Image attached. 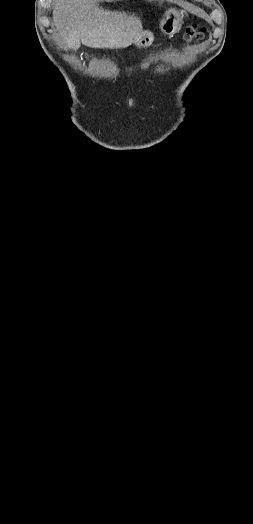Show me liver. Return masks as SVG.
I'll return each instance as SVG.
<instances>
[{"instance_id": "obj_1", "label": "liver", "mask_w": 253, "mask_h": 524, "mask_svg": "<svg viewBox=\"0 0 253 524\" xmlns=\"http://www.w3.org/2000/svg\"><path fill=\"white\" fill-rule=\"evenodd\" d=\"M53 20L65 50L91 48L120 49L135 43L142 23L134 15L104 10L96 0H56Z\"/></svg>"}]
</instances>
